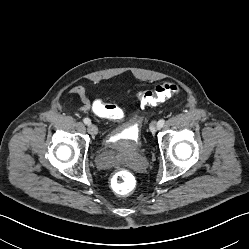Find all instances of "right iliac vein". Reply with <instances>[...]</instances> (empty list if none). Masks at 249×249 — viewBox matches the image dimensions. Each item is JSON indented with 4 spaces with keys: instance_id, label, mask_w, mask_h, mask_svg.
Wrapping results in <instances>:
<instances>
[{
    "instance_id": "1",
    "label": "right iliac vein",
    "mask_w": 249,
    "mask_h": 249,
    "mask_svg": "<svg viewBox=\"0 0 249 249\" xmlns=\"http://www.w3.org/2000/svg\"><path fill=\"white\" fill-rule=\"evenodd\" d=\"M88 132L92 135L95 136L98 134V128L96 125L94 124H89L88 125Z\"/></svg>"
}]
</instances>
